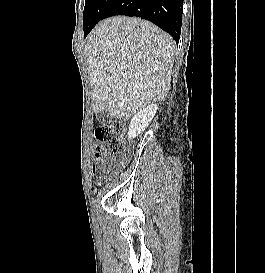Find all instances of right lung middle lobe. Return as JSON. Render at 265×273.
<instances>
[{"mask_svg":"<svg viewBox=\"0 0 265 273\" xmlns=\"http://www.w3.org/2000/svg\"><path fill=\"white\" fill-rule=\"evenodd\" d=\"M114 0H86L84 7V33L91 30L100 20Z\"/></svg>","mask_w":265,"mask_h":273,"instance_id":"obj_1","label":"right lung middle lobe"}]
</instances>
